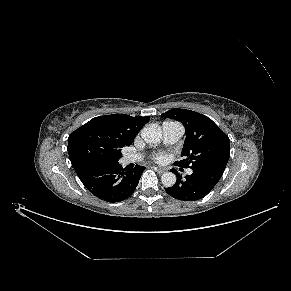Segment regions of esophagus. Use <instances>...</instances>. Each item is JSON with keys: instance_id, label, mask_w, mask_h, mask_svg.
Listing matches in <instances>:
<instances>
[{"instance_id": "34e87169", "label": "esophagus", "mask_w": 291, "mask_h": 291, "mask_svg": "<svg viewBox=\"0 0 291 291\" xmlns=\"http://www.w3.org/2000/svg\"><path fill=\"white\" fill-rule=\"evenodd\" d=\"M154 169L159 173V174H161V173H164L166 170L164 169V168H162V167H154Z\"/></svg>"}]
</instances>
